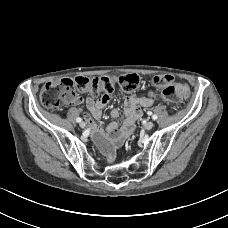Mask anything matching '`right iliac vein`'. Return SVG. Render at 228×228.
I'll use <instances>...</instances> for the list:
<instances>
[{
    "mask_svg": "<svg viewBox=\"0 0 228 228\" xmlns=\"http://www.w3.org/2000/svg\"><path fill=\"white\" fill-rule=\"evenodd\" d=\"M79 125H80L81 128H85L86 127V123L85 122H80Z\"/></svg>",
    "mask_w": 228,
    "mask_h": 228,
    "instance_id": "1",
    "label": "right iliac vein"
}]
</instances>
